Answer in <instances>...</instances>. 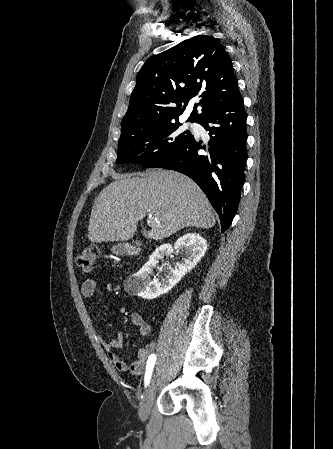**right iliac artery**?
<instances>
[{
  "label": "right iliac artery",
  "mask_w": 333,
  "mask_h": 449,
  "mask_svg": "<svg viewBox=\"0 0 333 449\" xmlns=\"http://www.w3.org/2000/svg\"><path fill=\"white\" fill-rule=\"evenodd\" d=\"M156 359L157 358H156L155 354H151L150 357L148 358L147 365H146L145 379H144L145 386H147L149 384V382H150L152 371H153Z\"/></svg>",
  "instance_id": "82829eb1"
}]
</instances>
